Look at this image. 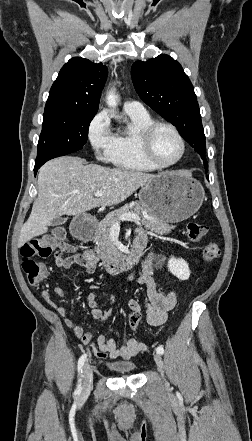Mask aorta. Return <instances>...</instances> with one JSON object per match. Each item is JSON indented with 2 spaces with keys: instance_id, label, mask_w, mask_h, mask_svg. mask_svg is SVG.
<instances>
[{
  "instance_id": "aorta-1",
  "label": "aorta",
  "mask_w": 252,
  "mask_h": 441,
  "mask_svg": "<svg viewBox=\"0 0 252 441\" xmlns=\"http://www.w3.org/2000/svg\"><path fill=\"white\" fill-rule=\"evenodd\" d=\"M107 105L111 108H116L118 104V96L116 95L115 89H111L106 96Z\"/></svg>"
}]
</instances>
